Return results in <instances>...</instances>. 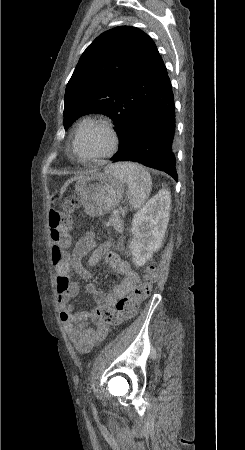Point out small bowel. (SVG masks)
Returning <instances> with one entry per match:
<instances>
[{"instance_id": "small-bowel-1", "label": "small bowel", "mask_w": 245, "mask_h": 450, "mask_svg": "<svg viewBox=\"0 0 245 450\" xmlns=\"http://www.w3.org/2000/svg\"><path fill=\"white\" fill-rule=\"evenodd\" d=\"M89 253V265L95 266L104 261L120 278L107 293L101 292L93 283L86 285V292L92 296L96 304L114 306L119 299L128 295L140 280L139 275L131 269L128 262L112 251V243L97 244L93 234L80 238L73 253L55 267L56 292L60 304L59 317L65 325L71 342L81 353L89 352L108 334L107 324L97 320L96 308L92 311L75 312L69 305V300L79 293L78 285L70 280V272L74 269L82 277H89L90 274L83 265V259ZM89 322L93 326H90Z\"/></svg>"}]
</instances>
